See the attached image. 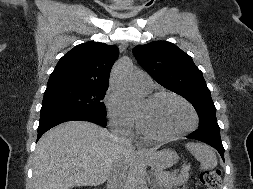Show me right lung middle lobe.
Returning <instances> with one entry per match:
<instances>
[{
    "label": "right lung middle lobe",
    "instance_id": "right-lung-middle-lobe-1",
    "mask_svg": "<svg viewBox=\"0 0 253 189\" xmlns=\"http://www.w3.org/2000/svg\"><path fill=\"white\" fill-rule=\"evenodd\" d=\"M108 87L60 86L44 92L41 112L63 110L88 113L105 117L106 107L102 102Z\"/></svg>",
    "mask_w": 253,
    "mask_h": 189
}]
</instances>
